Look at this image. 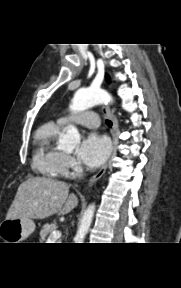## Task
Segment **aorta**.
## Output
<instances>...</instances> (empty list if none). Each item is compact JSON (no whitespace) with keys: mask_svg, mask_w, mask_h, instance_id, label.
I'll return each mask as SVG.
<instances>
[{"mask_svg":"<svg viewBox=\"0 0 181 288\" xmlns=\"http://www.w3.org/2000/svg\"><path fill=\"white\" fill-rule=\"evenodd\" d=\"M110 96L102 89H80L71 102L70 109L74 112L84 111L94 105L110 101ZM80 142V134L77 128L69 125L66 134L62 137L59 144L64 150L73 149ZM95 205L91 204L85 210L80 221L77 233L74 237L75 243H83L92 223Z\"/></svg>","mask_w":181,"mask_h":288,"instance_id":"obj_1","label":"aorta"}]
</instances>
